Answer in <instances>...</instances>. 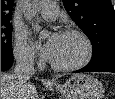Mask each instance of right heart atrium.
<instances>
[{
	"label": "right heart atrium",
	"mask_w": 115,
	"mask_h": 99,
	"mask_svg": "<svg viewBox=\"0 0 115 99\" xmlns=\"http://www.w3.org/2000/svg\"><path fill=\"white\" fill-rule=\"evenodd\" d=\"M14 56L23 65H33L36 62V54L25 36L17 34L14 40Z\"/></svg>",
	"instance_id": "right-heart-atrium-1"
}]
</instances>
